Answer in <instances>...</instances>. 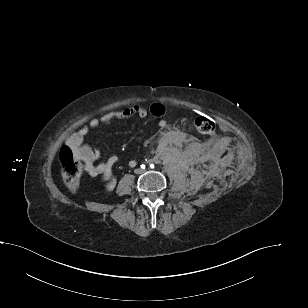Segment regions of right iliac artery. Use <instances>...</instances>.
Returning <instances> with one entry per match:
<instances>
[{
    "instance_id": "1",
    "label": "right iliac artery",
    "mask_w": 308,
    "mask_h": 308,
    "mask_svg": "<svg viewBox=\"0 0 308 308\" xmlns=\"http://www.w3.org/2000/svg\"><path fill=\"white\" fill-rule=\"evenodd\" d=\"M141 168H142V169H145V165H141Z\"/></svg>"
}]
</instances>
